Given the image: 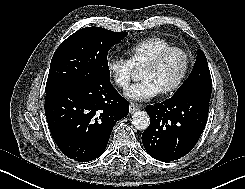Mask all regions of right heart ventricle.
<instances>
[{
    "instance_id": "1",
    "label": "right heart ventricle",
    "mask_w": 245,
    "mask_h": 189,
    "mask_svg": "<svg viewBox=\"0 0 245 189\" xmlns=\"http://www.w3.org/2000/svg\"><path fill=\"white\" fill-rule=\"evenodd\" d=\"M170 46H172L171 43L165 38L152 36L129 45L126 49V54L132 66L136 69H141L160 51Z\"/></svg>"
}]
</instances>
